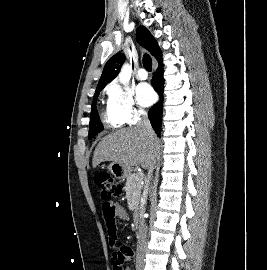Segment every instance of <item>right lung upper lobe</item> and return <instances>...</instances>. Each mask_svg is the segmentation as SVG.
Listing matches in <instances>:
<instances>
[{
    "label": "right lung upper lobe",
    "instance_id": "obj_1",
    "mask_svg": "<svg viewBox=\"0 0 267 270\" xmlns=\"http://www.w3.org/2000/svg\"><path fill=\"white\" fill-rule=\"evenodd\" d=\"M137 40L145 48H147L156 59L161 57V50L158 47L157 41L144 26L138 27ZM124 62L125 55L123 53H117L107 61L95 92H100L118 75Z\"/></svg>",
    "mask_w": 267,
    "mask_h": 270
}]
</instances>
